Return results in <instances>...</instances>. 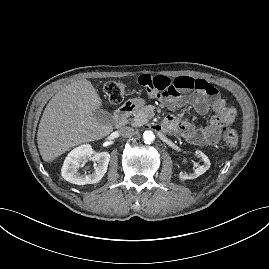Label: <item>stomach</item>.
Instances as JSON below:
<instances>
[{
  "label": "stomach",
  "instance_id": "0dacf381",
  "mask_svg": "<svg viewBox=\"0 0 269 269\" xmlns=\"http://www.w3.org/2000/svg\"><path fill=\"white\" fill-rule=\"evenodd\" d=\"M132 105H134L135 107H140L142 105V101L139 99H132L131 100Z\"/></svg>",
  "mask_w": 269,
  "mask_h": 269
}]
</instances>
